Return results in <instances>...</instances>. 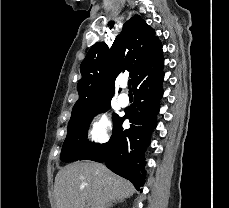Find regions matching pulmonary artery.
Segmentation results:
<instances>
[{"label": "pulmonary artery", "instance_id": "pulmonary-artery-1", "mask_svg": "<svg viewBox=\"0 0 229 208\" xmlns=\"http://www.w3.org/2000/svg\"><path fill=\"white\" fill-rule=\"evenodd\" d=\"M126 86H127L126 81H125V80L122 81L121 87H122L123 90L126 89ZM119 103H120L122 106L128 105V103H129V96H128L127 93H124V92H123V93L119 96Z\"/></svg>", "mask_w": 229, "mask_h": 208}]
</instances>
